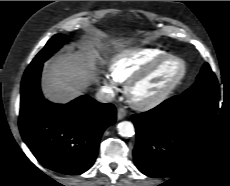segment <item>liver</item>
<instances>
[{"label": "liver", "mask_w": 230, "mask_h": 186, "mask_svg": "<svg viewBox=\"0 0 230 186\" xmlns=\"http://www.w3.org/2000/svg\"><path fill=\"white\" fill-rule=\"evenodd\" d=\"M99 53L91 42L80 52L58 55L45 63L42 89L45 96L58 103H66L87 89L96 80V62Z\"/></svg>", "instance_id": "obj_1"}]
</instances>
